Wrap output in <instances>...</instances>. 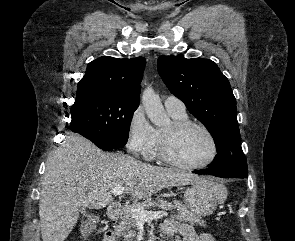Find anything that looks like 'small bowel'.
<instances>
[{"mask_svg": "<svg viewBox=\"0 0 295 241\" xmlns=\"http://www.w3.org/2000/svg\"><path fill=\"white\" fill-rule=\"evenodd\" d=\"M162 232L168 236L176 235L177 241H213L208 234L197 233L192 226L173 219H167L163 223ZM103 241H116L115 235L107 232Z\"/></svg>", "mask_w": 295, "mask_h": 241, "instance_id": "small-bowel-1", "label": "small bowel"}]
</instances>
